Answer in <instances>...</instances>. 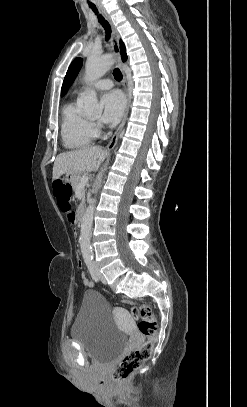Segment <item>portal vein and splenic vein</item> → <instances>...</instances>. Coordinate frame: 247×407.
<instances>
[{
    "label": "portal vein and splenic vein",
    "instance_id": "1",
    "mask_svg": "<svg viewBox=\"0 0 247 407\" xmlns=\"http://www.w3.org/2000/svg\"><path fill=\"white\" fill-rule=\"evenodd\" d=\"M88 181H89V178L86 177V176H83L81 181H80L79 187H83Z\"/></svg>",
    "mask_w": 247,
    "mask_h": 407
}]
</instances>
